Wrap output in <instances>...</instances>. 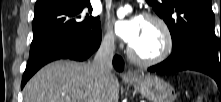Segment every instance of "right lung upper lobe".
<instances>
[{"label": "right lung upper lobe", "instance_id": "obj_1", "mask_svg": "<svg viewBox=\"0 0 221 102\" xmlns=\"http://www.w3.org/2000/svg\"><path fill=\"white\" fill-rule=\"evenodd\" d=\"M44 1H46V0H37L36 4L42 3Z\"/></svg>", "mask_w": 221, "mask_h": 102}]
</instances>
